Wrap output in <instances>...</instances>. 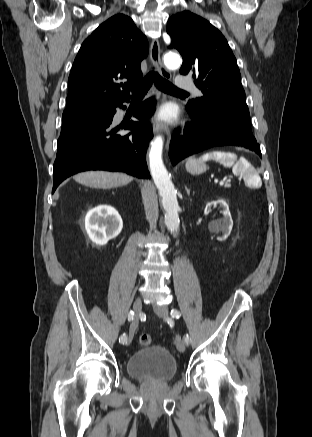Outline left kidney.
Instances as JSON below:
<instances>
[{
  "label": "left kidney",
  "instance_id": "1",
  "mask_svg": "<svg viewBox=\"0 0 312 437\" xmlns=\"http://www.w3.org/2000/svg\"><path fill=\"white\" fill-rule=\"evenodd\" d=\"M217 204L222 207L221 213L223 218L211 222L210 226L213 232H222V240H225L230 235L233 226V220L227 203L224 200L209 202L207 203L204 212L205 214H208L211 211V206Z\"/></svg>",
  "mask_w": 312,
  "mask_h": 437
}]
</instances>
